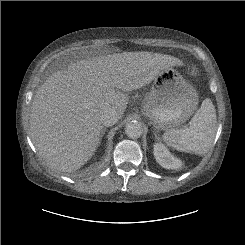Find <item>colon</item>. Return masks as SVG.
Instances as JSON below:
<instances>
[{
	"label": "colon",
	"instance_id": "obj_1",
	"mask_svg": "<svg viewBox=\"0 0 245 245\" xmlns=\"http://www.w3.org/2000/svg\"><path fill=\"white\" fill-rule=\"evenodd\" d=\"M197 67L193 64H190L187 68V73L189 76L194 77L197 75Z\"/></svg>",
	"mask_w": 245,
	"mask_h": 245
}]
</instances>
